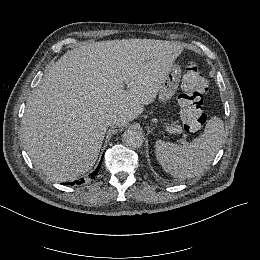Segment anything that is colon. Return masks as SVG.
<instances>
[{"mask_svg":"<svg viewBox=\"0 0 260 260\" xmlns=\"http://www.w3.org/2000/svg\"><path fill=\"white\" fill-rule=\"evenodd\" d=\"M205 74L204 69L195 62H190L180 81L181 94L178 102L183 127L187 132L199 130L206 122L203 104L208 84Z\"/></svg>","mask_w":260,"mask_h":260,"instance_id":"5ec220e1","label":"colon"}]
</instances>
